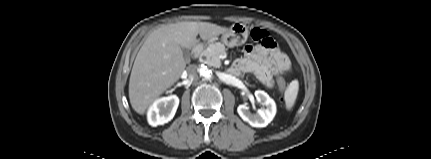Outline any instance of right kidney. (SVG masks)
I'll return each mask as SVG.
<instances>
[{
    "mask_svg": "<svg viewBox=\"0 0 431 159\" xmlns=\"http://www.w3.org/2000/svg\"><path fill=\"white\" fill-rule=\"evenodd\" d=\"M179 105L176 95L156 100L149 108L147 117L151 126L163 125L173 119Z\"/></svg>",
    "mask_w": 431,
    "mask_h": 159,
    "instance_id": "1",
    "label": "right kidney"
}]
</instances>
